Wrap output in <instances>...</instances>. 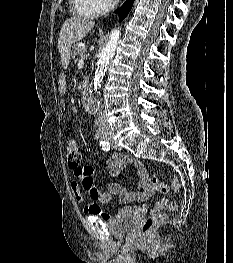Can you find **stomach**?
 <instances>
[{
    "label": "stomach",
    "mask_w": 233,
    "mask_h": 263,
    "mask_svg": "<svg viewBox=\"0 0 233 263\" xmlns=\"http://www.w3.org/2000/svg\"><path fill=\"white\" fill-rule=\"evenodd\" d=\"M55 81L59 82V90L60 91H67L68 88L71 87V84L68 83V80H66L65 77H56Z\"/></svg>",
    "instance_id": "1"
}]
</instances>
